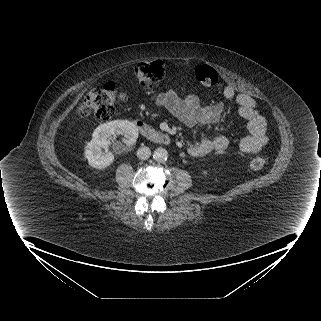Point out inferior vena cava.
Wrapping results in <instances>:
<instances>
[{"label": "inferior vena cava", "instance_id": "602c4592", "mask_svg": "<svg viewBox=\"0 0 321 321\" xmlns=\"http://www.w3.org/2000/svg\"><path fill=\"white\" fill-rule=\"evenodd\" d=\"M150 155H151V150L147 146H141L137 150V157L139 159L146 160V159H148L150 157Z\"/></svg>", "mask_w": 321, "mask_h": 321}]
</instances>
